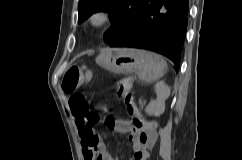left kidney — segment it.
Listing matches in <instances>:
<instances>
[{"label": "left kidney", "instance_id": "5707ae66", "mask_svg": "<svg viewBox=\"0 0 242 160\" xmlns=\"http://www.w3.org/2000/svg\"><path fill=\"white\" fill-rule=\"evenodd\" d=\"M166 97L167 96H163L160 99H157L155 101H151V103L149 105V108H148L149 109V113H154L155 112V106L156 105H159V110L156 113V115H158L159 113H162L164 111V108H165L164 102H165Z\"/></svg>", "mask_w": 242, "mask_h": 160}]
</instances>
